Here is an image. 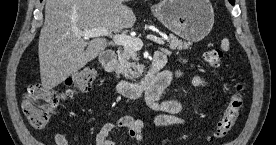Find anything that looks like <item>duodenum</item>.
Masks as SVG:
<instances>
[{"label": "duodenum", "mask_w": 276, "mask_h": 145, "mask_svg": "<svg viewBox=\"0 0 276 145\" xmlns=\"http://www.w3.org/2000/svg\"><path fill=\"white\" fill-rule=\"evenodd\" d=\"M100 62L107 72L115 75L117 92L127 99H138L143 93L152 90L163 91L170 81L168 73L162 70L166 64V56L162 52L154 54L147 73L137 82H128L119 78L117 54L114 50H105L100 56Z\"/></svg>", "instance_id": "obj_1"}]
</instances>
